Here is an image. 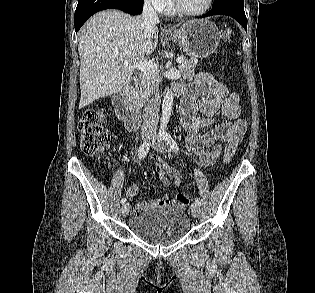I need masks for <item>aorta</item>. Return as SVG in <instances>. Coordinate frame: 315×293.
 I'll use <instances>...</instances> for the list:
<instances>
[{
	"instance_id": "1",
	"label": "aorta",
	"mask_w": 315,
	"mask_h": 293,
	"mask_svg": "<svg viewBox=\"0 0 315 293\" xmlns=\"http://www.w3.org/2000/svg\"><path fill=\"white\" fill-rule=\"evenodd\" d=\"M173 93L171 90L167 91L164 99H163V104H162V115H161V123H160V129L164 130L167 127V124L169 122L170 116H171V111H172V106H173Z\"/></svg>"
}]
</instances>
